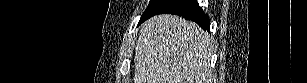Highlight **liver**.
<instances>
[{"instance_id":"6515ba94","label":"liver","mask_w":307,"mask_h":83,"mask_svg":"<svg viewBox=\"0 0 307 83\" xmlns=\"http://www.w3.org/2000/svg\"><path fill=\"white\" fill-rule=\"evenodd\" d=\"M210 35L176 15L142 24L135 48L134 83H211Z\"/></svg>"}]
</instances>
